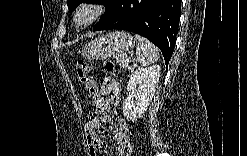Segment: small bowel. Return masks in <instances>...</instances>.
<instances>
[{
  "label": "small bowel",
  "mask_w": 247,
  "mask_h": 156,
  "mask_svg": "<svg viewBox=\"0 0 247 156\" xmlns=\"http://www.w3.org/2000/svg\"><path fill=\"white\" fill-rule=\"evenodd\" d=\"M100 101L103 106L98 107V112H92L85 124L84 130L88 143L89 153L93 156L98 155L101 148V140L96 131L103 124H116L117 130L114 133V140L117 145L119 155H125L130 150L129 126L126 120L118 116L115 111L113 115L108 114L112 107L116 109L121 99V86L111 78H105L99 93Z\"/></svg>",
  "instance_id": "obj_1"
}]
</instances>
